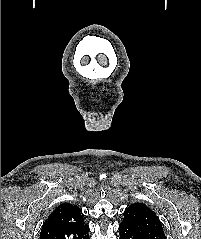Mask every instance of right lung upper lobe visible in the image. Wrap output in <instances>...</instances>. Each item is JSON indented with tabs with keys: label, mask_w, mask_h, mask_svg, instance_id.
I'll return each mask as SVG.
<instances>
[{
	"label": "right lung upper lobe",
	"mask_w": 201,
	"mask_h": 239,
	"mask_svg": "<svg viewBox=\"0 0 201 239\" xmlns=\"http://www.w3.org/2000/svg\"><path fill=\"white\" fill-rule=\"evenodd\" d=\"M82 209L72 204H61L44 222L40 239H86L89 226Z\"/></svg>",
	"instance_id": "right-lung-upper-lobe-1"
}]
</instances>
